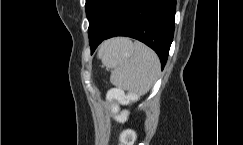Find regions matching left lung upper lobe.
Returning <instances> with one entry per match:
<instances>
[{
    "mask_svg": "<svg viewBox=\"0 0 243 145\" xmlns=\"http://www.w3.org/2000/svg\"><path fill=\"white\" fill-rule=\"evenodd\" d=\"M127 0H86V15L89 25H101L108 29L116 19Z\"/></svg>",
    "mask_w": 243,
    "mask_h": 145,
    "instance_id": "1",
    "label": "left lung upper lobe"
}]
</instances>
